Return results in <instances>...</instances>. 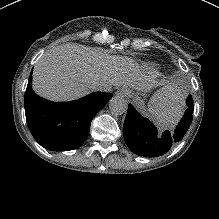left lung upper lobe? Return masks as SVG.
Masks as SVG:
<instances>
[{
  "instance_id": "5c2ea615",
  "label": "left lung upper lobe",
  "mask_w": 219,
  "mask_h": 219,
  "mask_svg": "<svg viewBox=\"0 0 219 219\" xmlns=\"http://www.w3.org/2000/svg\"><path fill=\"white\" fill-rule=\"evenodd\" d=\"M186 103H192V97H188V99L186 100Z\"/></svg>"
}]
</instances>
